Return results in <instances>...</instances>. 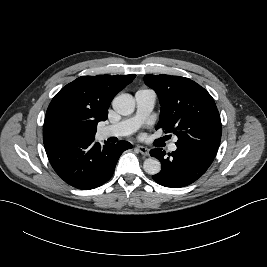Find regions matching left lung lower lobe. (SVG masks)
Masks as SVG:
<instances>
[{
  "label": "left lung lower lobe",
  "mask_w": 267,
  "mask_h": 267,
  "mask_svg": "<svg viewBox=\"0 0 267 267\" xmlns=\"http://www.w3.org/2000/svg\"><path fill=\"white\" fill-rule=\"evenodd\" d=\"M218 148L211 146H178L168 154L161 148L150 155L160 160L162 170L152 178L160 185L171 188L185 187L199 179L213 162Z\"/></svg>",
  "instance_id": "obj_1"
}]
</instances>
